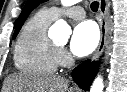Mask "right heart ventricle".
<instances>
[{"label":"right heart ventricle","mask_w":127,"mask_h":92,"mask_svg":"<svg viewBox=\"0 0 127 92\" xmlns=\"http://www.w3.org/2000/svg\"><path fill=\"white\" fill-rule=\"evenodd\" d=\"M53 20L48 12L41 10L23 26L14 48V65L19 72L41 76L57 70L58 48L47 35Z\"/></svg>","instance_id":"e07e8e85"}]
</instances>
